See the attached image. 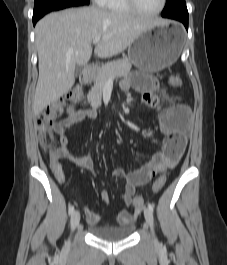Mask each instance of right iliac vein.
<instances>
[{
  "label": "right iliac vein",
  "mask_w": 227,
  "mask_h": 265,
  "mask_svg": "<svg viewBox=\"0 0 227 265\" xmlns=\"http://www.w3.org/2000/svg\"><path fill=\"white\" fill-rule=\"evenodd\" d=\"M80 222V213L79 211H74L71 216V230L73 231Z\"/></svg>",
  "instance_id": "right-iliac-vein-1"
}]
</instances>
